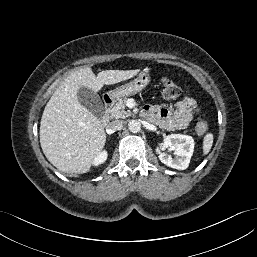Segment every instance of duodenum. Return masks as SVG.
Returning <instances> with one entry per match:
<instances>
[{"label": "duodenum", "mask_w": 257, "mask_h": 257, "mask_svg": "<svg viewBox=\"0 0 257 257\" xmlns=\"http://www.w3.org/2000/svg\"><path fill=\"white\" fill-rule=\"evenodd\" d=\"M103 103H104V115L101 118V123L102 125H107L109 120H110V109L113 106L114 100L112 97L106 95L103 98Z\"/></svg>", "instance_id": "duodenum-1"}]
</instances>
